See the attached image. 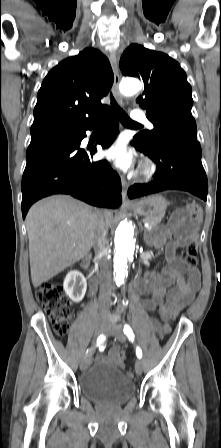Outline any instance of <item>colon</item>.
Here are the masks:
<instances>
[{
	"label": "colon",
	"instance_id": "5ec220e1",
	"mask_svg": "<svg viewBox=\"0 0 221 448\" xmlns=\"http://www.w3.org/2000/svg\"><path fill=\"white\" fill-rule=\"evenodd\" d=\"M189 212L173 219L174 224H182L186 220L193 228L200 221V210L194 202H190ZM185 263L189 267H197V244L191 241L185 249ZM37 301L46 309L53 324L56 334L62 336L66 334L71 318V306L69 301L63 295L62 286L58 283L43 282L36 291Z\"/></svg>",
	"mask_w": 221,
	"mask_h": 448
}]
</instances>
